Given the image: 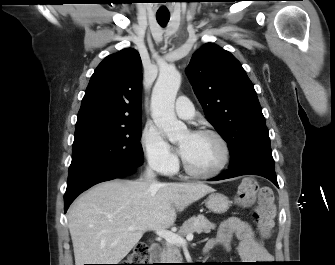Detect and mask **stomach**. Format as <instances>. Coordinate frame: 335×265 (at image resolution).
I'll list each match as a JSON object with an SVG mask.
<instances>
[{
	"mask_svg": "<svg viewBox=\"0 0 335 265\" xmlns=\"http://www.w3.org/2000/svg\"><path fill=\"white\" fill-rule=\"evenodd\" d=\"M206 207L216 214H222L229 209L230 200L224 194L212 192L206 199Z\"/></svg>",
	"mask_w": 335,
	"mask_h": 265,
	"instance_id": "1",
	"label": "stomach"
}]
</instances>
